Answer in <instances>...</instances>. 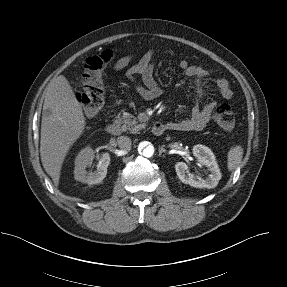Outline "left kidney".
<instances>
[{"label": "left kidney", "mask_w": 287, "mask_h": 287, "mask_svg": "<svg viewBox=\"0 0 287 287\" xmlns=\"http://www.w3.org/2000/svg\"><path fill=\"white\" fill-rule=\"evenodd\" d=\"M193 155L197 158L198 162L208 168L210 174L206 179H196L193 175L188 174V165L184 162H177L175 170L177 176L184 184H189L195 188H215L221 179V172L215 159V155L210 148L205 145L197 144L193 147Z\"/></svg>", "instance_id": "left-kidney-1"}]
</instances>
